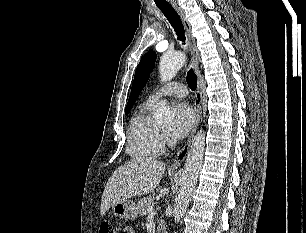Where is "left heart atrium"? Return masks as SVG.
Returning a JSON list of instances; mask_svg holds the SVG:
<instances>
[{"instance_id": "39dd6f15", "label": "left heart atrium", "mask_w": 306, "mask_h": 233, "mask_svg": "<svg viewBox=\"0 0 306 233\" xmlns=\"http://www.w3.org/2000/svg\"><path fill=\"white\" fill-rule=\"evenodd\" d=\"M195 121V114L192 107L185 103H179L174 109V124L172 135L176 139L184 138L191 130Z\"/></svg>"}]
</instances>
